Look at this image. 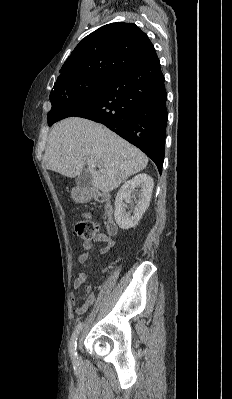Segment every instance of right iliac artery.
<instances>
[{
	"mask_svg": "<svg viewBox=\"0 0 232 399\" xmlns=\"http://www.w3.org/2000/svg\"><path fill=\"white\" fill-rule=\"evenodd\" d=\"M81 328H82V323H79L76 326V328L73 331L72 336H71L69 350H70V356H71L73 365H78L79 364V359H78L76 348H77V336H78Z\"/></svg>",
	"mask_w": 232,
	"mask_h": 399,
	"instance_id": "82829eb1",
	"label": "right iliac artery"
}]
</instances>
